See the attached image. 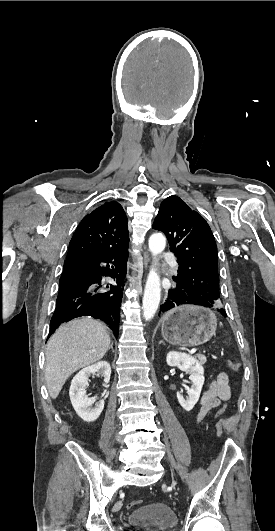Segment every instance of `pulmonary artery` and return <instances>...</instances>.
<instances>
[{
  "label": "pulmonary artery",
  "mask_w": 275,
  "mask_h": 531,
  "mask_svg": "<svg viewBox=\"0 0 275 531\" xmlns=\"http://www.w3.org/2000/svg\"><path fill=\"white\" fill-rule=\"evenodd\" d=\"M163 256L166 258V262L168 263V266L172 271H175L179 267V262L175 260V257L172 255L170 251H165L163 253Z\"/></svg>",
  "instance_id": "1"
}]
</instances>
